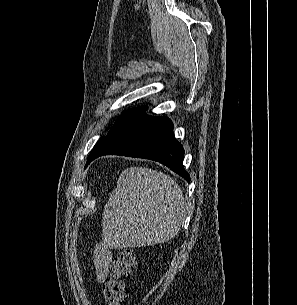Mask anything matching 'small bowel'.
<instances>
[{
    "label": "small bowel",
    "mask_w": 297,
    "mask_h": 305,
    "mask_svg": "<svg viewBox=\"0 0 297 305\" xmlns=\"http://www.w3.org/2000/svg\"><path fill=\"white\" fill-rule=\"evenodd\" d=\"M111 261L112 249L110 245L106 242L99 243L93 254L94 270L99 282H103L108 276Z\"/></svg>",
    "instance_id": "1"
}]
</instances>
